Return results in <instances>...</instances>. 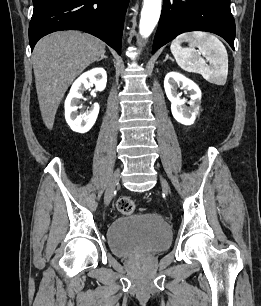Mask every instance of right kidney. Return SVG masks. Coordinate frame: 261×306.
Returning a JSON list of instances; mask_svg holds the SVG:
<instances>
[{
  "mask_svg": "<svg viewBox=\"0 0 261 306\" xmlns=\"http://www.w3.org/2000/svg\"><path fill=\"white\" fill-rule=\"evenodd\" d=\"M107 83V74L103 68H94L83 73L73 83L70 92L65 100V118L70 128L78 133L88 132L94 125L98 113L99 105L95 103L92 109L84 116L77 114L79 99L85 89L96 87L97 91H103Z\"/></svg>",
  "mask_w": 261,
  "mask_h": 306,
  "instance_id": "ca27d5eb",
  "label": "right kidney"
}]
</instances>
